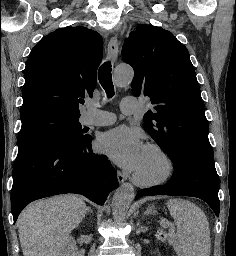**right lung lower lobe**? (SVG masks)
<instances>
[{
	"label": "right lung lower lobe",
	"instance_id": "98d812e1",
	"mask_svg": "<svg viewBox=\"0 0 236 256\" xmlns=\"http://www.w3.org/2000/svg\"><path fill=\"white\" fill-rule=\"evenodd\" d=\"M92 138L80 143L54 141L17 155L13 167L11 212L14 222L30 202L76 193L103 205L118 187L117 175L105 155L92 152Z\"/></svg>",
	"mask_w": 236,
	"mask_h": 256
}]
</instances>
